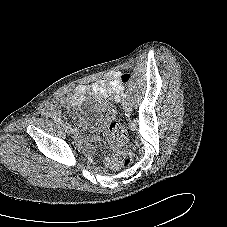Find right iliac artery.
Returning a JSON list of instances; mask_svg holds the SVG:
<instances>
[{
    "mask_svg": "<svg viewBox=\"0 0 227 227\" xmlns=\"http://www.w3.org/2000/svg\"><path fill=\"white\" fill-rule=\"evenodd\" d=\"M55 121H57V122H61V118H60V116H54L53 115V117H52Z\"/></svg>",
    "mask_w": 227,
    "mask_h": 227,
    "instance_id": "obj_1",
    "label": "right iliac artery"
}]
</instances>
